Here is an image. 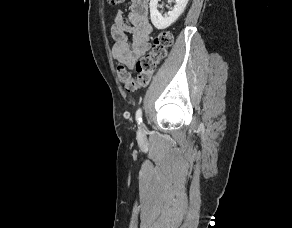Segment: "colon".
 Wrapping results in <instances>:
<instances>
[{
  "mask_svg": "<svg viewBox=\"0 0 292 228\" xmlns=\"http://www.w3.org/2000/svg\"><path fill=\"white\" fill-rule=\"evenodd\" d=\"M108 1L111 5H118L124 0ZM172 42V35L168 31H160L155 35L151 50L142 56L136 63V79L132 78L128 70L124 67H118V77L123 83L126 91L133 92L138 88L147 86L150 83L157 66L167 56Z\"/></svg>",
  "mask_w": 292,
  "mask_h": 228,
  "instance_id": "5ec220e1",
  "label": "colon"
}]
</instances>
